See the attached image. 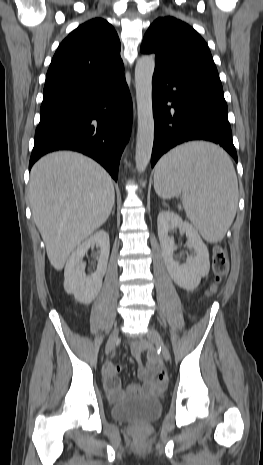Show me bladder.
Wrapping results in <instances>:
<instances>
[{"mask_svg":"<svg viewBox=\"0 0 263 465\" xmlns=\"http://www.w3.org/2000/svg\"><path fill=\"white\" fill-rule=\"evenodd\" d=\"M162 412L159 398L149 395L129 397L113 405V418L127 422L148 423L156 420Z\"/></svg>","mask_w":263,"mask_h":465,"instance_id":"obj_1","label":"bladder"}]
</instances>
